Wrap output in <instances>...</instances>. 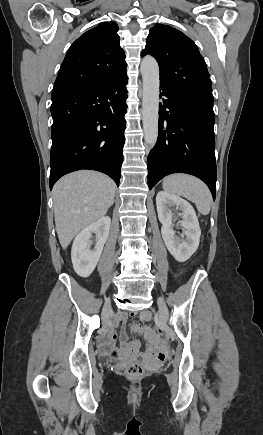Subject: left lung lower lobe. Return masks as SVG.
Instances as JSON below:
<instances>
[{"label":"left lung lower lobe","mask_w":263,"mask_h":435,"mask_svg":"<svg viewBox=\"0 0 263 435\" xmlns=\"http://www.w3.org/2000/svg\"><path fill=\"white\" fill-rule=\"evenodd\" d=\"M159 134L147 160L149 189L171 173H187L216 191L213 99L160 83Z\"/></svg>","instance_id":"0a47b994"}]
</instances>
